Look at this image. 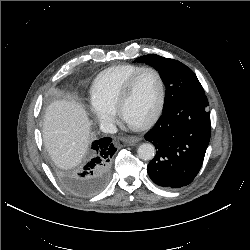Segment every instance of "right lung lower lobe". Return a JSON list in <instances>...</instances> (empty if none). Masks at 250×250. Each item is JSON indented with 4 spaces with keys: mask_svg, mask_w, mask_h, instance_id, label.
<instances>
[{
    "mask_svg": "<svg viewBox=\"0 0 250 250\" xmlns=\"http://www.w3.org/2000/svg\"><path fill=\"white\" fill-rule=\"evenodd\" d=\"M91 160L74 177L75 192L84 197L100 192L109 178L110 161L116 148L109 137L101 138L92 144Z\"/></svg>",
    "mask_w": 250,
    "mask_h": 250,
    "instance_id": "right-lung-lower-lobe-1",
    "label": "right lung lower lobe"
}]
</instances>
